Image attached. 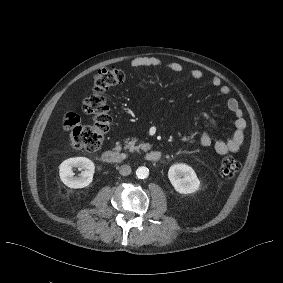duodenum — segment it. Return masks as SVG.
I'll use <instances>...</instances> for the list:
<instances>
[{"mask_svg": "<svg viewBox=\"0 0 283 283\" xmlns=\"http://www.w3.org/2000/svg\"><path fill=\"white\" fill-rule=\"evenodd\" d=\"M103 161L108 164H118L124 161V155L118 150H108L104 152ZM162 158L159 151H150L145 155V159L149 162H158Z\"/></svg>", "mask_w": 283, "mask_h": 283, "instance_id": "obj_1", "label": "duodenum"}]
</instances>
